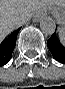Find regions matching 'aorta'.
<instances>
[{
	"instance_id": "1",
	"label": "aorta",
	"mask_w": 65,
	"mask_h": 89,
	"mask_svg": "<svg viewBox=\"0 0 65 89\" xmlns=\"http://www.w3.org/2000/svg\"><path fill=\"white\" fill-rule=\"evenodd\" d=\"M40 29L46 35H52L56 30V23L50 16H43L40 20Z\"/></svg>"
}]
</instances>
